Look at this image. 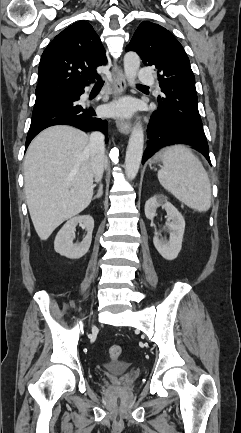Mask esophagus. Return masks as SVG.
Here are the masks:
<instances>
[{
	"label": "esophagus",
	"instance_id": "obj_1",
	"mask_svg": "<svg viewBox=\"0 0 241 433\" xmlns=\"http://www.w3.org/2000/svg\"><path fill=\"white\" fill-rule=\"evenodd\" d=\"M112 75L115 82L116 94L120 96L126 92L127 84L123 71L117 64L113 66ZM116 125L119 132L123 134H129L132 129V124L129 120L118 119Z\"/></svg>",
	"mask_w": 241,
	"mask_h": 433
}]
</instances>
